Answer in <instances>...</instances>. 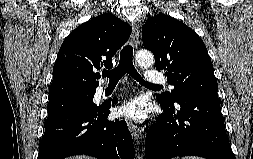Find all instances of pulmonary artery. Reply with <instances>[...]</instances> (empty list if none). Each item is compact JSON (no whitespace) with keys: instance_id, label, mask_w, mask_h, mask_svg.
<instances>
[{"instance_id":"1","label":"pulmonary artery","mask_w":253,"mask_h":159,"mask_svg":"<svg viewBox=\"0 0 253 159\" xmlns=\"http://www.w3.org/2000/svg\"><path fill=\"white\" fill-rule=\"evenodd\" d=\"M144 76L145 81L150 85L162 86L163 84H165L169 89L173 88V86L166 81V75L162 71L148 70ZM104 88L105 87L103 86L102 89Z\"/></svg>"}]
</instances>
